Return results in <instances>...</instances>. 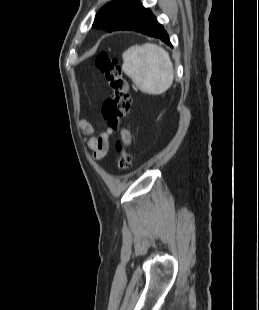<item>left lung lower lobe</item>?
<instances>
[{
  "label": "left lung lower lobe",
  "mask_w": 259,
  "mask_h": 310,
  "mask_svg": "<svg viewBox=\"0 0 259 310\" xmlns=\"http://www.w3.org/2000/svg\"><path fill=\"white\" fill-rule=\"evenodd\" d=\"M116 30H131L156 37L171 45L169 36L163 26L158 23L150 9L140 6L130 11L115 27Z\"/></svg>",
  "instance_id": "1"
}]
</instances>
